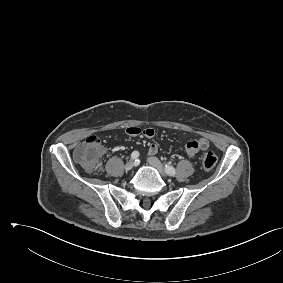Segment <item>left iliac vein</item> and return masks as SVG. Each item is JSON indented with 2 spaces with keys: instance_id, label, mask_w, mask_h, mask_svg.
I'll return each instance as SVG.
<instances>
[{
  "instance_id": "1",
  "label": "left iliac vein",
  "mask_w": 283,
  "mask_h": 283,
  "mask_svg": "<svg viewBox=\"0 0 283 283\" xmlns=\"http://www.w3.org/2000/svg\"><path fill=\"white\" fill-rule=\"evenodd\" d=\"M148 163L152 165L154 168H156L162 176L164 177L167 176L164 167L162 166L161 162L156 157H149Z\"/></svg>"
}]
</instances>
